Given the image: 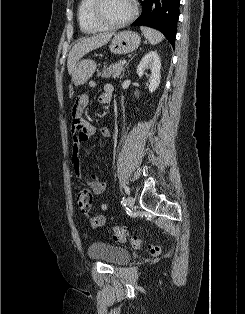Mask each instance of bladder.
Segmentation results:
<instances>
[{"mask_svg": "<svg viewBox=\"0 0 245 314\" xmlns=\"http://www.w3.org/2000/svg\"><path fill=\"white\" fill-rule=\"evenodd\" d=\"M92 260L102 261L114 266L126 264L131 259V253L126 248L105 242L92 243L88 249Z\"/></svg>", "mask_w": 245, "mask_h": 314, "instance_id": "bladder-1", "label": "bladder"}]
</instances>
